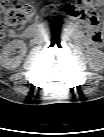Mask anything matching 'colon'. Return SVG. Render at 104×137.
Instances as JSON below:
<instances>
[{
  "label": "colon",
  "instance_id": "5ec220e1",
  "mask_svg": "<svg viewBox=\"0 0 104 137\" xmlns=\"http://www.w3.org/2000/svg\"><path fill=\"white\" fill-rule=\"evenodd\" d=\"M104 0H78L76 5H68L62 10L71 15H76L88 21L96 29L92 33V40L100 43L103 39L102 32L98 29L100 17L98 11L102 8ZM34 15V9L27 3L19 0H5L2 8V18L6 28L5 35L10 36L14 31L22 30L28 25Z\"/></svg>",
  "mask_w": 104,
  "mask_h": 137
}]
</instances>
